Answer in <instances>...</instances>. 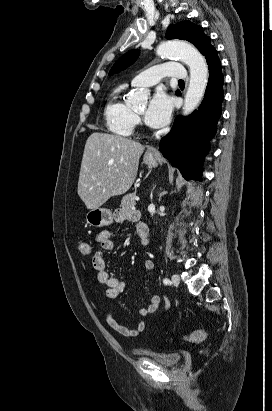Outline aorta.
Masks as SVG:
<instances>
[{
  "mask_svg": "<svg viewBox=\"0 0 272 411\" xmlns=\"http://www.w3.org/2000/svg\"><path fill=\"white\" fill-rule=\"evenodd\" d=\"M157 53L161 57H177L189 67L190 81L185 95L183 114L192 113L200 103L208 82V66L205 58L190 44L176 40L161 43ZM130 99L135 104H144L147 94L143 90H133Z\"/></svg>",
  "mask_w": 272,
  "mask_h": 411,
  "instance_id": "762f6f07",
  "label": "aorta"
}]
</instances>
